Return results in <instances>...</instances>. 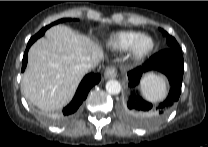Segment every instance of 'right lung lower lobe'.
I'll return each instance as SVG.
<instances>
[{
  "label": "right lung lower lobe",
  "mask_w": 208,
  "mask_h": 147,
  "mask_svg": "<svg viewBox=\"0 0 208 147\" xmlns=\"http://www.w3.org/2000/svg\"><path fill=\"white\" fill-rule=\"evenodd\" d=\"M42 35L43 34H36L29 40L22 60V71L25 70V67L27 65V56L30 46ZM100 80H101L100 74L91 73L86 75L84 79L81 81L72 102L63 109L62 114L54 116L53 120L57 123H63L69 120L74 115V113L78 110L81 103L86 99L89 90L94 85L99 83Z\"/></svg>",
  "instance_id": "98d812e1"
}]
</instances>
